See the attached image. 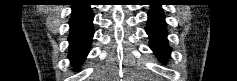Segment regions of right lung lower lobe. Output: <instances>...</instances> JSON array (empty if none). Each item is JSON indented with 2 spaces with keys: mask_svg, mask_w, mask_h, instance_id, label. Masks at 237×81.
Wrapping results in <instances>:
<instances>
[{
  "mask_svg": "<svg viewBox=\"0 0 237 81\" xmlns=\"http://www.w3.org/2000/svg\"><path fill=\"white\" fill-rule=\"evenodd\" d=\"M92 21L93 14L89 5L72 6V17L69 22V58L72 63L83 61L89 52L93 37Z\"/></svg>",
  "mask_w": 237,
  "mask_h": 81,
  "instance_id": "right-lung-lower-lobe-1",
  "label": "right lung lower lobe"
}]
</instances>
